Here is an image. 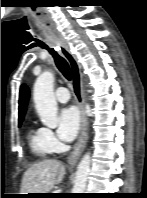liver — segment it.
<instances>
[{
	"mask_svg": "<svg viewBox=\"0 0 147 198\" xmlns=\"http://www.w3.org/2000/svg\"><path fill=\"white\" fill-rule=\"evenodd\" d=\"M65 175V166L58 160L47 159L26 170L21 183L22 194L49 193Z\"/></svg>",
	"mask_w": 147,
	"mask_h": 198,
	"instance_id": "liver-1",
	"label": "liver"
}]
</instances>
